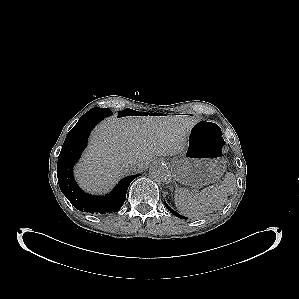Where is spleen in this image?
Returning a JSON list of instances; mask_svg holds the SVG:
<instances>
[{
    "mask_svg": "<svg viewBox=\"0 0 299 299\" xmlns=\"http://www.w3.org/2000/svg\"><path fill=\"white\" fill-rule=\"evenodd\" d=\"M235 187L234 174L227 173L222 184L209 186L200 192L177 188L174 196L175 205L185 216L198 219L224 206Z\"/></svg>",
    "mask_w": 299,
    "mask_h": 299,
    "instance_id": "1",
    "label": "spleen"
}]
</instances>
